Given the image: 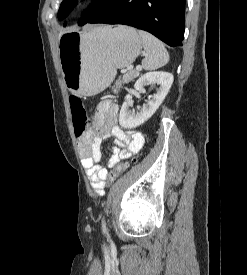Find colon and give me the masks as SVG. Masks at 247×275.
<instances>
[{"label":"colon","instance_id":"5ec220e1","mask_svg":"<svg viewBox=\"0 0 247 275\" xmlns=\"http://www.w3.org/2000/svg\"><path fill=\"white\" fill-rule=\"evenodd\" d=\"M70 109L72 114V123L74 128V133L76 137H80L85 132L88 125V116L85 106L79 97H70ZM136 159L132 158L127 161L119 163L114 170L110 172L107 177V183L110 185L115 182L121 173H123L131 163L135 162Z\"/></svg>","mask_w":247,"mask_h":275}]
</instances>
